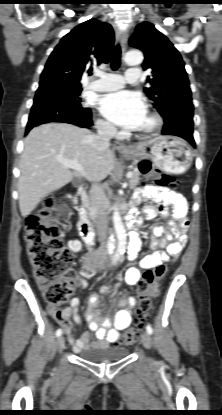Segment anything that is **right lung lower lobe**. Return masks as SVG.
<instances>
[{
    "label": "right lung lower lobe",
    "instance_id": "1",
    "mask_svg": "<svg viewBox=\"0 0 222 415\" xmlns=\"http://www.w3.org/2000/svg\"><path fill=\"white\" fill-rule=\"evenodd\" d=\"M62 82L55 78L40 81L26 133L33 127L48 122H65L86 128L93 125L91 110L83 108L81 103L65 90Z\"/></svg>",
    "mask_w": 222,
    "mask_h": 415
}]
</instances>
